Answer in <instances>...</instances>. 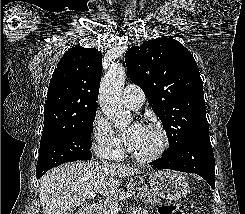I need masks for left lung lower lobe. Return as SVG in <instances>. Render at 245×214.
<instances>
[{"mask_svg":"<svg viewBox=\"0 0 245 214\" xmlns=\"http://www.w3.org/2000/svg\"><path fill=\"white\" fill-rule=\"evenodd\" d=\"M155 169L195 173L215 188V161L209 136H198L150 163Z\"/></svg>","mask_w":245,"mask_h":214,"instance_id":"left-lung-lower-lobe-1","label":"left lung lower lobe"}]
</instances>
